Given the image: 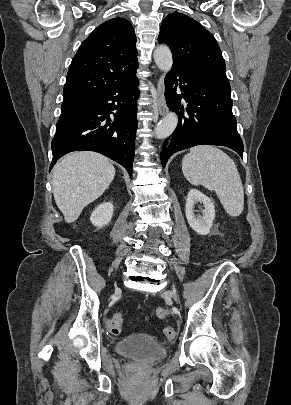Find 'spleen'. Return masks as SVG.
Instances as JSON below:
<instances>
[{"label": "spleen", "instance_id": "3e777b00", "mask_svg": "<svg viewBox=\"0 0 291 405\" xmlns=\"http://www.w3.org/2000/svg\"><path fill=\"white\" fill-rule=\"evenodd\" d=\"M182 171L193 185L214 190L229 216H239L244 208V190L234 161L213 146H197L182 160Z\"/></svg>", "mask_w": 291, "mask_h": 405}]
</instances>
